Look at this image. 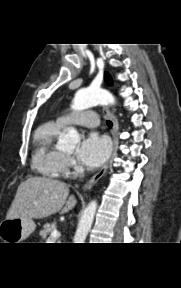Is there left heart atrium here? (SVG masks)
Here are the masks:
<instances>
[{"label":"left heart atrium","instance_id":"obj_1","mask_svg":"<svg viewBox=\"0 0 181 288\" xmlns=\"http://www.w3.org/2000/svg\"><path fill=\"white\" fill-rule=\"evenodd\" d=\"M110 151L109 139L96 132H91L82 141L77 157L85 166L95 168L105 162Z\"/></svg>","mask_w":181,"mask_h":288}]
</instances>
